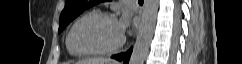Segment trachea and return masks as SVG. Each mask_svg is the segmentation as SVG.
Returning <instances> with one entry per match:
<instances>
[{"label":"trachea","instance_id":"1","mask_svg":"<svg viewBox=\"0 0 242 64\" xmlns=\"http://www.w3.org/2000/svg\"><path fill=\"white\" fill-rule=\"evenodd\" d=\"M140 2H143L144 0H139Z\"/></svg>","mask_w":242,"mask_h":64}]
</instances>
